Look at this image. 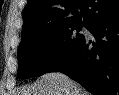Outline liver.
<instances>
[{"label":"liver","instance_id":"6515ba94","mask_svg":"<svg viewBox=\"0 0 119 95\" xmlns=\"http://www.w3.org/2000/svg\"><path fill=\"white\" fill-rule=\"evenodd\" d=\"M18 95H89L78 83L58 72L46 73Z\"/></svg>","mask_w":119,"mask_h":95}]
</instances>
